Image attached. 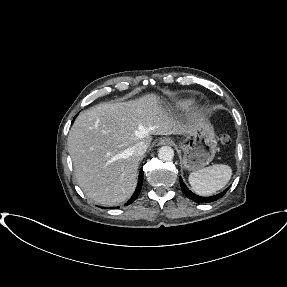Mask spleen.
<instances>
[{
  "mask_svg": "<svg viewBox=\"0 0 287 287\" xmlns=\"http://www.w3.org/2000/svg\"><path fill=\"white\" fill-rule=\"evenodd\" d=\"M232 176V169L225 164H216L192 172L189 183L193 191L201 196H209L227 185Z\"/></svg>",
  "mask_w": 287,
  "mask_h": 287,
  "instance_id": "obj_1",
  "label": "spleen"
}]
</instances>
